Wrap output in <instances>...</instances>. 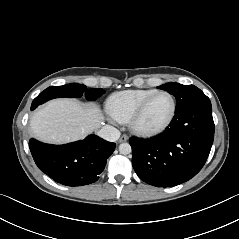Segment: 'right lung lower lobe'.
Segmentation results:
<instances>
[{
	"label": "right lung lower lobe",
	"mask_w": 239,
	"mask_h": 239,
	"mask_svg": "<svg viewBox=\"0 0 239 239\" xmlns=\"http://www.w3.org/2000/svg\"><path fill=\"white\" fill-rule=\"evenodd\" d=\"M30 151L38 168L54 181L67 186H82L99 179L116 144L90 135L66 145L29 141Z\"/></svg>",
	"instance_id": "1"
}]
</instances>
